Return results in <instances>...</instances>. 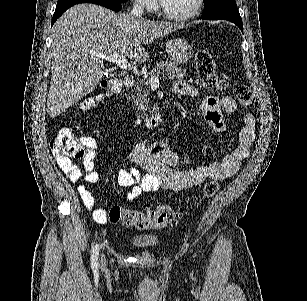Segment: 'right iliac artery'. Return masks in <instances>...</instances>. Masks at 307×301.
Masks as SVG:
<instances>
[{"label": "right iliac artery", "instance_id": "1", "mask_svg": "<svg viewBox=\"0 0 307 301\" xmlns=\"http://www.w3.org/2000/svg\"><path fill=\"white\" fill-rule=\"evenodd\" d=\"M98 255H99V246L95 245L92 251V257H91V267L93 269H96L98 266Z\"/></svg>", "mask_w": 307, "mask_h": 301}]
</instances>
